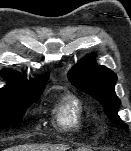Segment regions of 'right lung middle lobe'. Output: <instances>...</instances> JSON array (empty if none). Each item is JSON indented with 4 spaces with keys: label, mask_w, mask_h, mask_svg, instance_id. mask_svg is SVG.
I'll use <instances>...</instances> for the list:
<instances>
[{
    "label": "right lung middle lobe",
    "mask_w": 131,
    "mask_h": 151,
    "mask_svg": "<svg viewBox=\"0 0 131 151\" xmlns=\"http://www.w3.org/2000/svg\"><path fill=\"white\" fill-rule=\"evenodd\" d=\"M43 89H0V130L13 124L19 126L27 107L36 102Z\"/></svg>",
    "instance_id": "right-lung-middle-lobe-1"
}]
</instances>
